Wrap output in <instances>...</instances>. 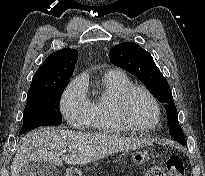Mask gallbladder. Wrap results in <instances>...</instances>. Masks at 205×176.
<instances>
[{"instance_id":"obj_1","label":"gallbladder","mask_w":205,"mask_h":176,"mask_svg":"<svg viewBox=\"0 0 205 176\" xmlns=\"http://www.w3.org/2000/svg\"><path fill=\"white\" fill-rule=\"evenodd\" d=\"M58 169L54 164L45 161L27 163L21 170L20 176H58Z\"/></svg>"}]
</instances>
